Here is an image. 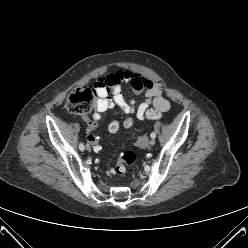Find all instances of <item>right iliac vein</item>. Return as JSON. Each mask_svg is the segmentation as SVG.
<instances>
[{"mask_svg": "<svg viewBox=\"0 0 248 248\" xmlns=\"http://www.w3.org/2000/svg\"><path fill=\"white\" fill-rule=\"evenodd\" d=\"M86 149H87V151H90L91 149H90V146L87 144V146H86Z\"/></svg>", "mask_w": 248, "mask_h": 248, "instance_id": "63e3f726", "label": "right iliac vein"}]
</instances>
